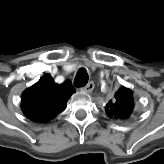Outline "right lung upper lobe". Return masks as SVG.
<instances>
[{"label": "right lung upper lobe", "mask_w": 164, "mask_h": 164, "mask_svg": "<svg viewBox=\"0 0 164 164\" xmlns=\"http://www.w3.org/2000/svg\"><path fill=\"white\" fill-rule=\"evenodd\" d=\"M75 90L69 80L58 85L49 74L44 75L22 94L21 107L33 121L48 122L64 111Z\"/></svg>", "instance_id": "obj_1"}]
</instances>
